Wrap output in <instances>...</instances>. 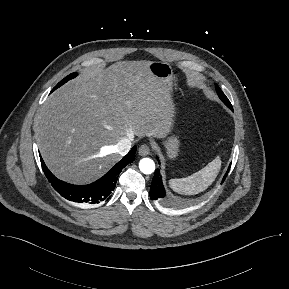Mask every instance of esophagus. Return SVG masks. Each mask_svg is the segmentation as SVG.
<instances>
[{
	"mask_svg": "<svg viewBox=\"0 0 289 289\" xmlns=\"http://www.w3.org/2000/svg\"><path fill=\"white\" fill-rule=\"evenodd\" d=\"M138 153L140 156H147L150 154V148L148 145L143 144L139 147Z\"/></svg>",
	"mask_w": 289,
	"mask_h": 289,
	"instance_id": "1",
	"label": "esophagus"
}]
</instances>
